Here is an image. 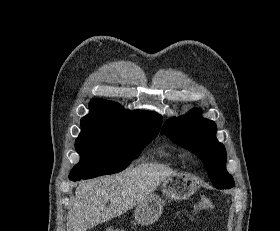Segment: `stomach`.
<instances>
[{
    "label": "stomach",
    "mask_w": 280,
    "mask_h": 231,
    "mask_svg": "<svg viewBox=\"0 0 280 231\" xmlns=\"http://www.w3.org/2000/svg\"><path fill=\"white\" fill-rule=\"evenodd\" d=\"M197 183L198 181L194 175L178 171L175 175L165 179L160 185V189L168 199H187V197L195 193ZM163 207L164 199L157 193H151L141 203H138L134 213L135 221L140 225H151V223H155L159 219Z\"/></svg>",
    "instance_id": "1"
}]
</instances>
